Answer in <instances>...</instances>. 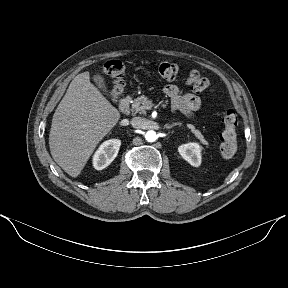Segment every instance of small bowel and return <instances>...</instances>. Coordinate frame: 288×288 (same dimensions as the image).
I'll return each instance as SVG.
<instances>
[{
    "label": "small bowel",
    "instance_id": "small-bowel-1",
    "mask_svg": "<svg viewBox=\"0 0 288 288\" xmlns=\"http://www.w3.org/2000/svg\"><path fill=\"white\" fill-rule=\"evenodd\" d=\"M164 93L171 99L173 108L187 116H192L201 108L202 102L198 95L182 93L176 85H166Z\"/></svg>",
    "mask_w": 288,
    "mask_h": 288
}]
</instances>
